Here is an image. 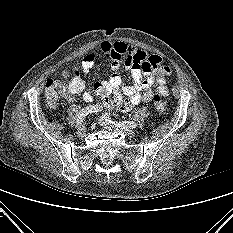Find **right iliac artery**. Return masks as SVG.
<instances>
[{
  "label": "right iliac artery",
  "mask_w": 233,
  "mask_h": 233,
  "mask_svg": "<svg viewBox=\"0 0 233 233\" xmlns=\"http://www.w3.org/2000/svg\"><path fill=\"white\" fill-rule=\"evenodd\" d=\"M102 109H103V107L100 104L99 105H94V106H89V107H86V108L82 109L79 112L78 117L76 119L77 126L78 127L81 126V123L83 122L84 118L88 114L97 113V112L101 111Z\"/></svg>",
  "instance_id": "right-iliac-artery-1"
}]
</instances>
